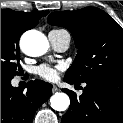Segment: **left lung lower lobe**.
<instances>
[{
  "instance_id": "1",
  "label": "left lung lower lobe",
  "mask_w": 123,
  "mask_h": 123,
  "mask_svg": "<svg viewBox=\"0 0 123 123\" xmlns=\"http://www.w3.org/2000/svg\"><path fill=\"white\" fill-rule=\"evenodd\" d=\"M69 84L79 83L64 78ZM83 94L63 89L71 100L61 123H123V77L85 81Z\"/></svg>"
}]
</instances>
